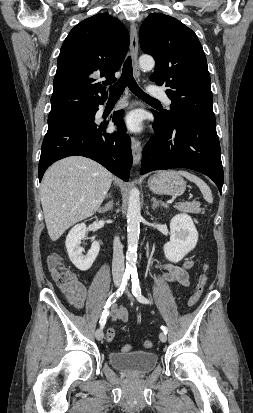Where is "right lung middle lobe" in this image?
I'll return each mask as SVG.
<instances>
[{
    "label": "right lung middle lobe",
    "mask_w": 253,
    "mask_h": 413,
    "mask_svg": "<svg viewBox=\"0 0 253 413\" xmlns=\"http://www.w3.org/2000/svg\"><path fill=\"white\" fill-rule=\"evenodd\" d=\"M94 117L95 114L93 108L52 116L48 118V129L78 122L90 121Z\"/></svg>",
    "instance_id": "right-lung-middle-lobe-1"
}]
</instances>
